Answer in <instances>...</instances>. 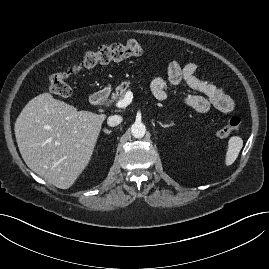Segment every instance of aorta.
<instances>
[{"instance_id":"762f6f07","label":"aorta","mask_w":269,"mask_h":269,"mask_svg":"<svg viewBox=\"0 0 269 269\" xmlns=\"http://www.w3.org/2000/svg\"><path fill=\"white\" fill-rule=\"evenodd\" d=\"M131 132L135 138H142L146 133V127L142 122H135L131 126Z\"/></svg>"}]
</instances>
